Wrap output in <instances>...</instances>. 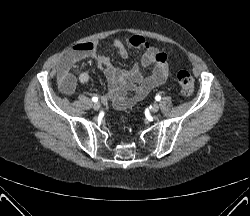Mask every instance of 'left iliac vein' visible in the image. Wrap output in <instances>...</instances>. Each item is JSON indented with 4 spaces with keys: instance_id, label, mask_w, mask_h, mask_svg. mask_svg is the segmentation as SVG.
<instances>
[{
    "instance_id": "left-iliac-vein-1",
    "label": "left iliac vein",
    "mask_w": 250,
    "mask_h": 216,
    "mask_svg": "<svg viewBox=\"0 0 250 216\" xmlns=\"http://www.w3.org/2000/svg\"><path fill=\"white\" fill-rule=\"evenodd\" d=\"M158 110H159V105H158L157 103H154V104L151 106V112H152V113H156Z\"/></svg>"
}]
</instances>
